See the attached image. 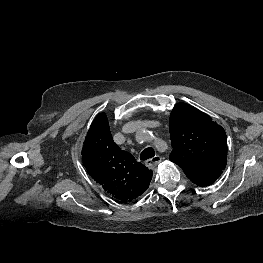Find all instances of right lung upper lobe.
Listing matches in <instances>:
<instances>
[{
	"label": "right lung upper lobe",
	"instance_id": "1",
	"mask_svg": "<svg viewBox=\"0 0 263 263\" xmlns=\"http://www.w3.org/2000/svg\"><path fill=\"white\" fill-rule=\"evenodd\" d=\"M82 162L94 181L122 202L140 196L152 179V170L114 143L105 113L99 114L90 126L82 148Z\"/></svg>",
	"mask_w": 263,
	"mask_h": 263
}]
</instances>
